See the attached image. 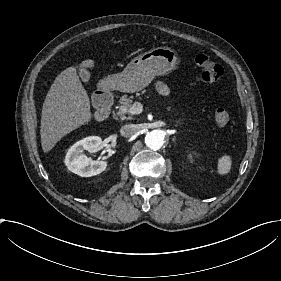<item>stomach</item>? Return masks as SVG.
I'll return each instance as SVG.
<instances>
[{
    "instance_id": "stomach-1",
    "label": "stomach",
    "mask_w": 281,
    "mask_h": 281,
    "mask_svg": "<svg viewBox=\"0 0 281 281\" xmlns=\"http://www.w3.org/2000/svg\"><path fill=\"white\" fill-rule=\"evenodd\" d=\"M177 63L176 53L168 47L151 49L134 58L121 73L102 78L103 89L136 92L145 88L156 75L167 74Z\"/></svg>"
}]
</instances>
